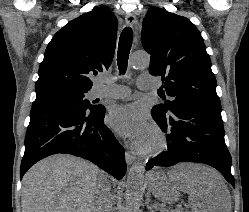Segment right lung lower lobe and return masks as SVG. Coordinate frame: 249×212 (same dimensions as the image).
Here are the masks:
<instances>
[{"label":"right lung lower lobe","instance_id":"obj_1","mask_svg":"<svg viewBox=\"0 0 249 212\" xmlns=\"http://www.w3.org/2000/svg\"><path fill=\"white\" fill-rule=\"evenodd\" d=\"M105 108L35 106L25 137L20 179L37 161L53 154L90 160L117 179L126 172L124 149L103 123Z\"/></svg>","mask_w":249,"mask_h":212}]
</instances>
